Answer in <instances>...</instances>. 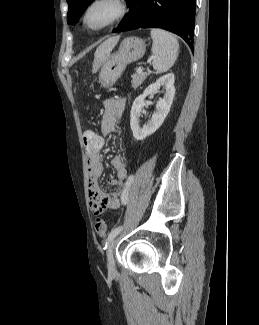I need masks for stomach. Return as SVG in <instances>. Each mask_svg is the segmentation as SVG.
Instances as JSON below:
<instances>
[{"mask_svg": "<svg viewBox=\"0 0 259 325\" xmlns=\"http://www.w3.org/2000/svg\"><path fill=\"white\" fill-rule=\"evenodd\" d=\"M145 41L139 37L125 38L118 51L110 54L103 62L99 81L102 87H112L124 72L126 66L141 59L145 53Z\"/></svg>", "mask_w": 259, "mask_h": 325, "instance_id": "obj_1", "label": "stomach"}]
</instances>
